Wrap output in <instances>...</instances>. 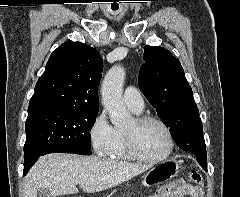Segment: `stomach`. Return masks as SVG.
Masks as SVG:
<instances>
[{"instance_id":"obj_1","label":"stomach","mask_w":240,"mask_h":197,"mask_svg":"<svg viewBox=\"0 0 240 197\" xmlns=\"http://www.w3.org/2000/svg\"><path fill=\"white\" fill-rule=\"evenodd\" d=\"M179 167L180 163L177 160H171L165 164L153 167L144 175L142 183L146 187L158 185L173 178L178 173Z\"/></svg>"}]
</instances>
